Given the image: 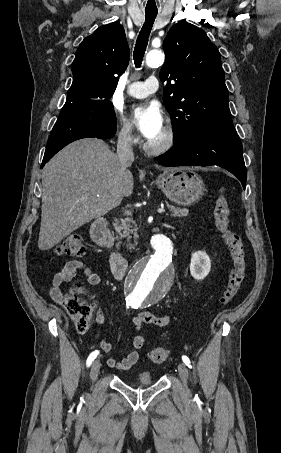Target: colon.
<instances>
[{"instance_id": "1", "label": "colon", "mask_w": 281, "mask_h": 453, "mask_svg": "<svg viewBox=\"0 0 281 453\" xmlns=\"http://www.w3.org/2000/svg\"><path fill=\"white\" fill-rule=\"evenodd\" d=\"M228 191L227 184H218L213 197L214 228L222 235L232 260L229 282L217 301L219 307L226 306L237 296L243 287L247 271V254L243 240L230 230ZM53 251L61 258L87 256V247L79 238H66L59 241L53 246ZM81 286L82 283L79 284V287ZM76 296L77 291L68 295L66 307L71 314L79 318V327L85 329L89 324L90 312L87 307L77 301ZM147 355L152 363H166L169 359L167 351L162 348L150 349L147 351Z\"/></svg>"}]
</instances>
